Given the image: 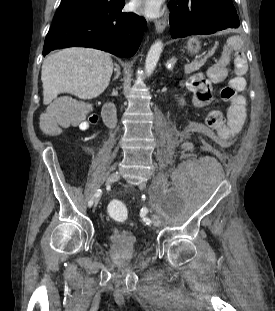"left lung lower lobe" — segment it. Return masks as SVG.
<instances>
[{"mask_svg":"<svg viewBox=\"0 0 275 311\" xmlns=\"http://www.w3.org/2000/svg\"><path fill=\"white\" fill-rule=\"evenodd\" d=\"M169 7L173 38L212 34L240 26L231 0H171Z\"/></svg>","mask_w":275,"mask_h":311,"instance_id":"1","label":"left lung lower lobe"}]
</instances>
